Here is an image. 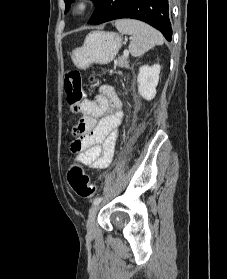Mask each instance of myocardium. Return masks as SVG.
I'll return each instance as SVG.
<instances>
[{
    "label": "myocardium",
    "instance_id": "1",
    "mask_svg": "<svg viewBox=\"0 0 227 279\" xmlns=\"http://www.w3.org/2000/svg\"><path fill=\"white\" fill-rule=\"evenodd\" d=\"M90 6V0H76L73 5L72 13L75 16H83L88 12Z\"/></svg>",
    "mask_w": 227,
    "mask_h": 279
}]
</instances>
